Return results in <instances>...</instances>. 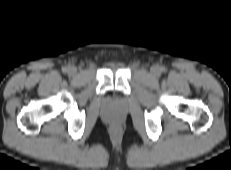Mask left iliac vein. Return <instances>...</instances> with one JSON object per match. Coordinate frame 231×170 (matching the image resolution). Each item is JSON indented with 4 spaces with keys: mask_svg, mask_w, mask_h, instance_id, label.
Returning a JSON list of instances; mask_svg holds the SVG:
<instances>
[{
    "mask_svg": "<svg viewBox=\"0 0 231 170\" xmlns=\"http://www.w3.org/2000/svg\"><path fill=\"white\" fill-rule=\"evenodd\" d=\"M151 74L153 75V76H159L160 75V69H159V67L158 66H153L152 68H151Z\"/></svg>",
    "mask_w": 231,
    "mask_h": 170,
    "instance_id": "1",
    "label": "left iliac vein"
}]
</instances>
